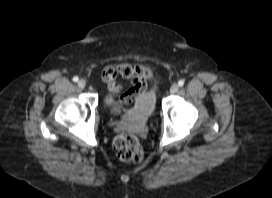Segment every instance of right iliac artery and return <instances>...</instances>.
<instances>
[{"instance_id": "obj_1", "label": "right iliac artery", "mask_w": 272, "mask_h": 198, "mask_svg": "<svg viewBox=\"0 0 272 198\" xmlns=\"http://www.w3.org/2000/svg\"><path fill=\"white\" fill-rule=\"evenodd\" d=\"M79 80V78L77 76L73 77V81L77 82Z\"/></svg>"}]
</instances>
